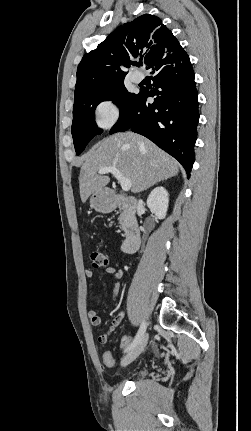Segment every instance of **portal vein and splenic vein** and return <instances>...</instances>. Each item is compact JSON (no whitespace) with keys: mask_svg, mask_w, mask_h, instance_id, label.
I'll return each mask as SVG.
<instances>
[{"mask_svg":"<svg viewBox=\"0 0 251 431\" xmlns=\"http://www.w3.org/2000/svg\"><path fill=\"white\" fill-rule=\"evenodd\" d=\"M99 174L111 173L121 184L123 191H129L131 188V180L124 177L122 173L115 167H104L98 171Z\"/></svg>","mask_w":251,"mask_h":431,"instance_id":"18ae733b","label":"portal vein and splenic vein"}]
</instances>
